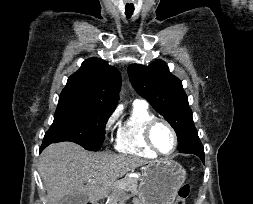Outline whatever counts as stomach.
Instances as JSON below:
<instances>
[{
    "label": "stomach",
    "mask_w": 253,
    "mask_h": 204,
    "mask_svg": "<svg viewBox=\"0 0 253 204\" xmlns=\"http://www.w3.org/2000/svg\"><path fill=\"white\" fill-rule=\"evenodd\" d=\"M185 180L186 171L173 160L148 163L138 186L140 204H173Z\"/></svg>",
    "instance_id": "0dacf381"
}]
</instances>
